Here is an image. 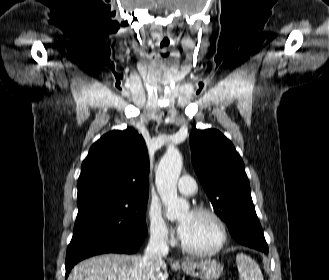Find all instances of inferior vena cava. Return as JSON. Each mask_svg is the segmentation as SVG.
I'll list each match as a JSON object with an SVG mask.
<instances>
[{
    "label": "inferior vena cava",
    "instance_id": "1",
    "mask_svg": "<svg viewBox=\"0 0 329 280\" xmlns=\"http://www.w3.org/2000/svg\"><path fill=\"white\" fill-rule=\"evenodd\" d=\"M168 251L165 233L163 231L152 232L142 258V264L147 267L158 266L163 263L162 259L168 254Z\"/></svg>",
    "mask_w": 329,
    "mask_h": 280
}]
</instances>
